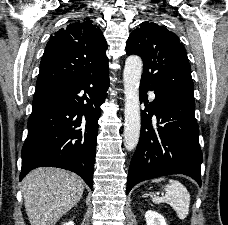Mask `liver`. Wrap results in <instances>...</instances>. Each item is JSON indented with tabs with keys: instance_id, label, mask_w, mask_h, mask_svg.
<instances>
[{
	"instance_id": "liver-1",
	"label": "liver",
	"mask_w": 228,
	"mask_h": 225,
	"mask_svg": "<svg viewBox=\"0 0 228 225\" xmlns=\"http://www.w3.org/2000/svg\"><path fill=\"white\" fill-rule=\"evenodd\" d=\"M26 215L30 225H56L79 203L83 183L74 173L62 169H34L22 181Z\"/></svg>"
}]
</instances>
